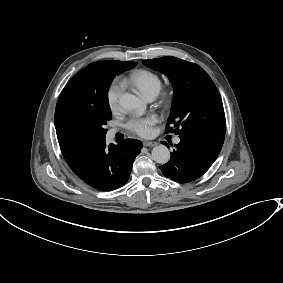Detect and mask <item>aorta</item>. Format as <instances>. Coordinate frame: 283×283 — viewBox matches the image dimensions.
Here are the masks:
<instances>
[{
  "mask_svg": "<svg viewBox=\"0 0 283 283\" xmlns=\"http://www.w3.org/2000/svg\"><path fill=\"white\" fill-rule=\"evenodd\" d=\"M122 108L142 114L145 111V104L137 96L124 93L119 99ZM152 158L156 163L166 164L170 160V151L165 145H158L152 149Z\"/></svg>",
  "mask_w": 283,
  "mask_h": 283,
  "instance_id": "aorta-1",
  "label": "aorta"
}]
</instances>
